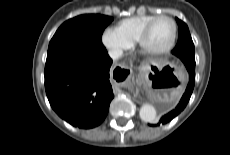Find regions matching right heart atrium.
Instances as JSON below:
<instances>
[{
  "instance_id": "d8ad5b80",
  "label": "right heart atrium",
  "mask_w": 230,
  "mask_h": 155,
  "mask_svg": "<svg viewBox=\"0 0 230 155\" xmlns=\"http://www.w3.org/2000/svg\"><path fill=\"white\" fill-rule=\"evenodd\" d=\"M101 41L102 44L117 57L122 56L132 45L112 28H107L103 31Z\"/></svg>"
}]
</instances>
